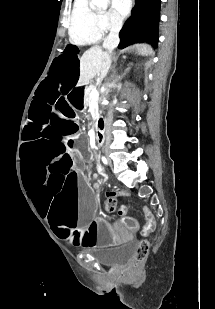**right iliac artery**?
I'll use <instances>...</instances> for the list:
<instances>
[{
    "mask_svg": "<svg viewBox=\"0 0 215 309\" xmlns=\"http://www.w3.org/2000/svg\"><path fill=\"white\" fill-rule=\"evenodd\" d=\"M102 161L104 164H107V159L105 157H102Z\"/></svg>",
    "mask_w": 215,
    "mask_h": 309,
    "instance_id": "right-iliac-artery-1",
    "label": "right iliac artery"
}]
</instances>
